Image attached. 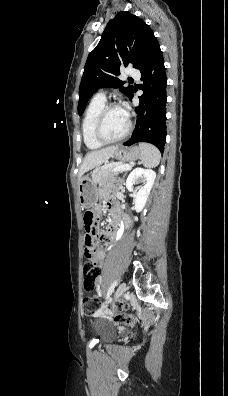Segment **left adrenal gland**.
Returning <instances> with one entry per match:
<instances>
[{"label":"left adrenal gland","instance_id":"1","mask_svg":"<svg viewBox=\"0 0 228 396\" xmlns=\"http://www.w3.org/2000/svg\"><path fill=\"white\" fill-rule=\"evenodd\" d=\"M126 173H127V172H125V173L123 174V176H122V178H121V180H120L121 184H124V178H125Z\"/></svg>","mask_w":228,"mask_h":396}]
</instances>
